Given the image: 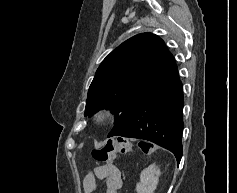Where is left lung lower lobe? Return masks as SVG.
<instances>
[{
	"label": "left lung lower lobe",
	"instance_id": "left-lung-lower-lobe-1",
	"mask_svg": "<svg viewBox=\"0 0 237 193\" xmlns=\"http://www.w3.org/2000/svg\"><path fill=\"white\" fill-rule=\"evenodd\" d=\"M183 88L175 61L147 89L128 125L117 135L151 141L182 157Z\"/></svg>",
	"mask_w": 237,
	"mask_h": 193
}]
</instances>
